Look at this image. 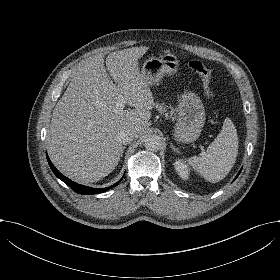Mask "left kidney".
Here are the masks:
<instances>
[{
    "mask_svg": "<svg viewBox=\"0 0 280 280\" xmlns=\"http://www.w3.org/2000/svg\"><path fill=\"white\" fill-rule=\"evenodd\" d=\"M173 167L178 174V176L184 180L189 181L191 178V167L185 159L175 158L173 162Z\"/></svg>",
    "mask_w": 280,
    "mask_h": 280,
    "instance_id": "obj_1",
    "label": "left kidney"
}]
</instances>
